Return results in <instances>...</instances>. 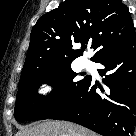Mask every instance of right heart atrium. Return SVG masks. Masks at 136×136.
I'll return each instance as SVG.
<instances>
[{
	"label": "right heart atrium",
	"instance_id": "1",
	"mask_svg": "<svg viewBox=\"0 0 136 136\" xmlns=\"http://www.w3.org/2000/svg\"><path fill=\"white\" fill-rule=\"evenodd\" d=\"M48 90H49V86H48V85H43V86L40 88V92H41V93H46Z\"/></svg>",
	"mask_w": 136,
	"mask_h": 136
}]
</instances>
